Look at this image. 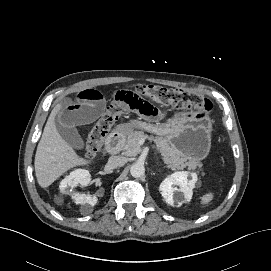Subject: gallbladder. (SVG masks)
I'll return each mask as SVG.
<instances>
[{
  "instance_id": "gallbladder-1",
  "label": "gallbladder",
  "mask_w": 271,
  "mask_h": 271,
  "mask_svg": "<svg viewBox=\"0 0 271 271\" xmlns=\"http://www.w3.org/2000/svg\"><path fill=\"white\" fill-rule=\"evenodd\" d=\"M56 127L62 136V138L75 149H83L84 141L78 130L73 126H68L62 119L61 116L56 117Z\"/></svg>"
}]
</instances>
